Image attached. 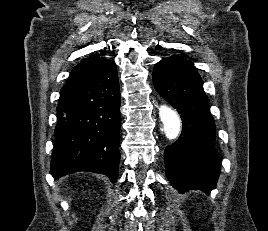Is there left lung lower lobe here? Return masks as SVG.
Instances as JSON below:
<instances>
[{
	"mask_svg": "<svg viewBox=\"0 0 268 231\" xmlns=\"http://www.w3.org/2000/svg\"><path fill=\"white\" fill-rule=\"evenodd\" d=\"M153 84L158 94L181 114L182 133L164 151L166 175L179 192L216 187L220 161L216 127L203 83L193 64L174 57L158 62Z\"/></svg>",
	"mask_w": 268,
	"mask_h": 231,
	"instance_id": "1",
	"label": "left lung lower lobe"
}]
</instances>
